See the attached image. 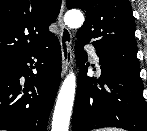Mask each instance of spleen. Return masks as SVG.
<instances>
[{
    "mask_svg": "<svg viewBox=\"0 0 147 131\" xmlns=\"http://www.w3.org/2000/svg\"><path fill=\"white\" fill-rule=\"evenodd\" d=\"M101 131H122V130H119V129H116V128H108V129H103Z\"/></svg>",
    "mask_w": 147,
    "mask_h": 131,
    "instance_id": "obj_1",
    "label": "spleen"
}]
</instances>
